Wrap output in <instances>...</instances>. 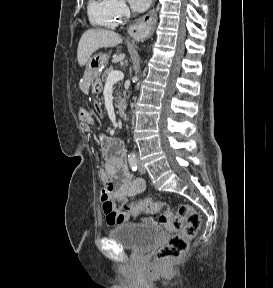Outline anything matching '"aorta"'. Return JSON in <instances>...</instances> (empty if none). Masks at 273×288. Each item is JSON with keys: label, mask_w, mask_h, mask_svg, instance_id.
<instances>
[{"label": "aorta", "mask_w": 273, "mask_h": 288, "mask_svg": "<svg viewBox=\"0 0 273 288\" xmlns=\"http://www.w3.org/2000/svg\"><path fill=\"white\" fill-rule=\"evenodd\" d=\"M134 80H135V81H138V77H137V76H135V77H134Z\"/></svg>", "instance_id": "aorta-1"}]
</instances>
